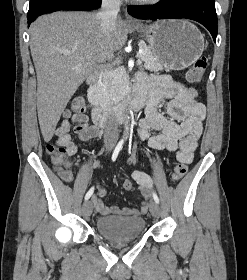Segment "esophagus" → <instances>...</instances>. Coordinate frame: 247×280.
Masks as SVG:
<instances>
[{
  "label": "esophagus",
  "mask_w": 247,
  "mask_h": 280,
  "mask_svg": "<svg viewBox=\"0 0 247 280\" xmlns=\"http://www.w3.org/2000/svg\"><path fill=\"white\" fill-rule=\"evenodd\" d=\"M126 22H127L128 24H137V21H136L133 17H131L130 15H128V14H126Z\"/></svg>",
  "instance_id": "esophagus-1"
}]
</instances>
